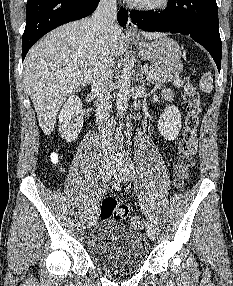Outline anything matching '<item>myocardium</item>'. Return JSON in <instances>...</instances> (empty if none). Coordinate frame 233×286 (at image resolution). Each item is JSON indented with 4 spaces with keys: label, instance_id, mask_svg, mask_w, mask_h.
Segmentation results:
<instances>
[{
    "label": "myocardium",
    "instance_id": "f54148a6",
    "mask_svg": "<svg viewBox=\"0 0 233 286\" xmlns=\"http://www.w3.org/2000/svg\"><path fill=\"white\" fill-rule=\"evenodd\" d=\"M170 0H156L154 2L144 3V2H137L133 3L130 2L131 5L139 10L143 11H158L166 8L169 5Z\"/></svg>",
    "mask_w": 233,
    "mask_h": 286
}]
</instances>
